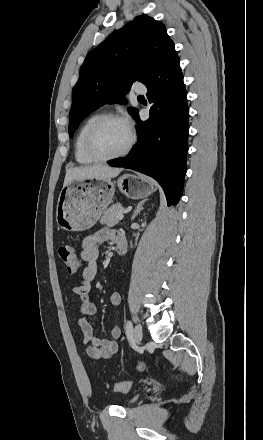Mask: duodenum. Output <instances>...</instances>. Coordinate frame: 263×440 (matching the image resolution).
<instances>
[{
	"mask_svg": "<svg viewBox=\"0 0 263 440\" xmlns=\"http://www.w3.org/2000/svg\"><path fill=\"white\" fill-rule=\"evenodd\" d=\"M117 245H118V253L120 255L125 254L127 250L125 238L123 240H120Z\"/></svg>",
	"mask_w": 263,
	"mask_h": 440,
	"instance_id": "obj_1",
	"label": "duodenum"
}]
</instances>
